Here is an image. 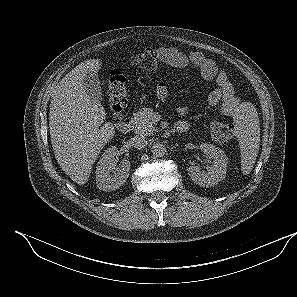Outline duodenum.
<instances>
[{
	"label": "duodenum",
	"instance_id": "duodenum-1",
	"mask_svg": "<svg viewBox=\"0 0 297 297\" xmlns=\"http://www.w3.org/2000/svg\"><path fill=\"white\" fill-rule=\"evenodd\" d=\"M133 125L132 122L129 121L128 119H123L122 121H120L117 124V130L121 133V134H127L128 132H130V130L132 129ZM188 129V124L184 123V122H177L174 126H173V130L176 133H184L186 132Z\"/></svg>",
	"mask_w": 297,
	"mask_h": 297
}]
</instances>
